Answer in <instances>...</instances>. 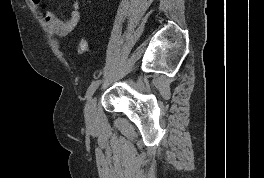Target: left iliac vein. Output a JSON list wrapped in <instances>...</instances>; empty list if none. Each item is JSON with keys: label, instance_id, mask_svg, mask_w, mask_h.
Here are the masks:
<instances>
[{"label": "left iliac vein", "instance_id": "obj_1", "mask_svg": "<svg viewBox=\"0 0 264 178\" xmlns=\"http://www.w3.org/2000/svg\"><path fill=\"white\" fill-rule=\"evenodd\" d=\"M85 119L87 124H93L96 119V97L88 100L85 108Z\"/></svg>", "mask_w": 264, "mask_h": 178}]
</instances>
